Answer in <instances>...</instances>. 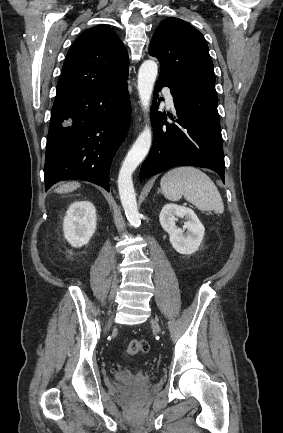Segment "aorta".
<instances>
[{"label":"aorta","instance_id":"aorta-1","mask_svg":"<svg viewBox=\"0 0 283 433\" xmlns=\"http://www.w3.org/2000/svg\"><path fill=\"white\" fill-rule=\"evenodd\" d=\"M157 74L158 66L153 60L144 61L139 69L137 85L140 103L146 115V125L125 157L118 176L120 200L128 221L135 228L140 226L141 220L137 208L132 174L146 157L151 147L152 131L148 112Z\"/></svg>","mask_w":283,"mask_h":433}]
</instances>
